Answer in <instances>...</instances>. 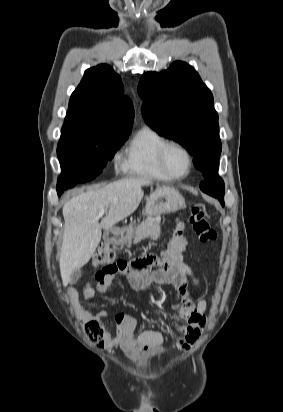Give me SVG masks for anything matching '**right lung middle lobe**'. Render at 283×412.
Returning <instances> with one entry per match:
<instances>
[{"label":"right lung middle lobe","instance_id":"dd1d6c3e","mask_svg":"<svg viewBox=\"0 0 283 412\" xmlns=\"http://www.w3.org/2000/svg\"><path fill=\"white\" fill-rule=\"evenodd\" d=\"M130 132L93 134L75 122L65 121L57 147L61 182L84 183L94 179L124 144Z\"/></svg>","mask_w":283,"mask_h":412}]
</instances>
